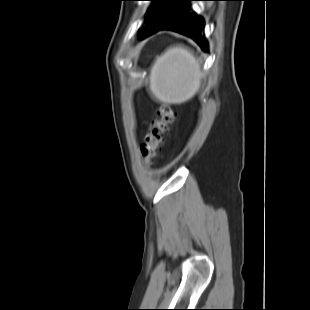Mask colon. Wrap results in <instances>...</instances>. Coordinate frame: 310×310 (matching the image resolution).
Wrapping results in <instances>:
<instances>
[{"label": "colon", "instance_id": "5ec220e1", "mask_svg": "<svg viewBox=\"0 0 310 310\" xmlns=\"http://www.w3.org/2000/svg\"><path fill=\"white\" fill-rule=\"evenodd\" d=\"M174 120L175 112L170 105L163 104L158 108L157 118L152 122L141 146L144 163L147 166L151 165L153 159L158 154L165 135Z\"/></svg>", "mask_w": 310, "mask_h": 310}]
</instances>
